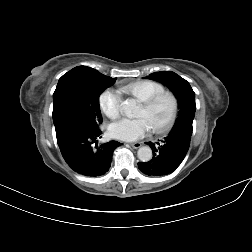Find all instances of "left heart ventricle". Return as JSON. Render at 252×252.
Here are the masks:
<instances>
[{
    "mask_svg": "<svg viewBox=\"0 0 252 252\" xmlns=\"http://www.w3.org/2000/svg\"><path fill=\"white\" fill-rule=\"evenodd\" d=\"M171 109V99L168 96H164L149 109L141 106L137 112V116L143 117L150 129H155L165 124L170 116Z\"/></svg>",
    "mask_w": 252,
    "mask_h": 252,
    "instance_id": "b2bd125f",
    "label": "left heart ventricle"
}]
</instances>
